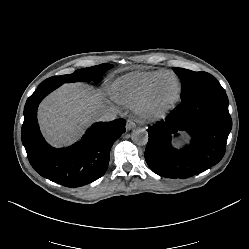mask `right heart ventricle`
Here are the masks:
<instances>
[{"instance_id": "e07e8e85", "label": "right heart ventricle", "mask_w": 249, "mask_h": 249, "mask_svg": "<svg viewBox=\"0 0 249 249\" xmlns=\"http://www.w3.org/2000/svg\"><path fill=\"white\" fill-rule=\"evenodd\" d=\"M168 72L166 69H152L127 73L114 81L112 95L118 101L132 105L154 79Z\"/></svg>"}]
</instances>
